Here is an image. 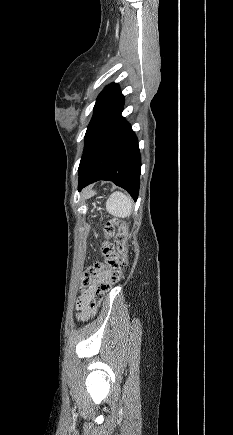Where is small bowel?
<instances>
[{
  "instance_id": "obj_1",
  "label": "small bowel",
  "mask_w": 233,
  "mask_h": 435,
  "mask_svg": "<svg viewBox=\"0 0 233 435\" xmlns=\"http://www.w3.org/2000/svg\"><path fill=\"white\" fill-rule=\"evenodd\" d=\"M111 274H112L111 270H105L99 275V277L100 279L105 280V279H109L111 277ZM80 289L82 292L77 300L76 307L79 310V319L85 320L87 318V314H86L87 308L93 299L94 286H91L87 289H83L80 286Z\"/></svg>"
}]
</instances>
